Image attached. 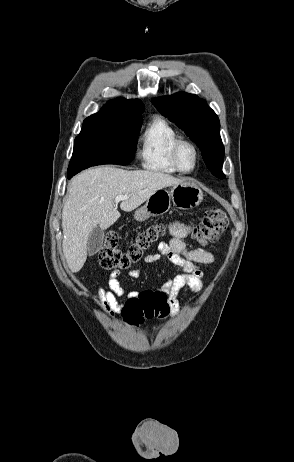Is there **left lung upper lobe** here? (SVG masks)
<instances>
[{"instance_id": "5c2ea615", "label": "left lung upper lobe", "mask_w": 294, "mask_h": 462, "mask_svg": "<svg viewBox=\"0 0 294 462\" xmlns=\"http://www.w3.org/2000/svg\"><path fill=\"white\" fill-rule=\"evenodd\" d=\"M151 102L170 121L183 129L202 152L208 169L218 178H224L222 165L224 147L220 138V122L205 101L185 92L153 98Z\"/></svg>"}]
</instances>
